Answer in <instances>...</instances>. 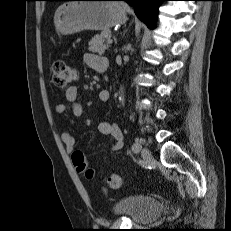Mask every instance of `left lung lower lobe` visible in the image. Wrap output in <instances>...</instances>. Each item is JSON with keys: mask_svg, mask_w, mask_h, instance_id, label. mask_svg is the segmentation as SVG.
<instances>
[{"mask_svg": "<svg viewBox=\"0 0 231 231\" xmlns=\"http://www.w3.org/2000/svg\"><path fill=\"white\" fill-rule=\"evenodd\" d=\"M66 1V0H59ZM126 1L134 7L136 15L145 22L149 28L155 27V19L157 16V3L167 0H120Z\"/></svg>", "mask_w": 231, "mask_h": 231, "instance_id": "0a47b994", "label": "left lung lower lobe"}]
</instances>
